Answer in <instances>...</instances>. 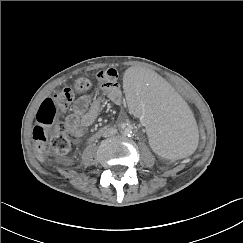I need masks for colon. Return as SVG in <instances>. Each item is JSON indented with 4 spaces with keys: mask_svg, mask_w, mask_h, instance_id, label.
<instances>
[{
    "mask_svg": "<svg viewBox=\"0 0 243 243\" xmlns=\"http://www.w3.org/2000/svg\"><path fill=\"white\" fill-rule=\"evenodd\" d=\"M103 76H105L104 73ZM89 88L90 82L87 79L81 78L75 82L74 89L68 87L62 88L42 102L37 114V124L32 131L33 147L38 155H45L48 152L49 145L58 154H65L70 150L71 141L66 135V126L62 123H57L54 126V135L50 141L48 139L49 128L54 123L57 111L66 110L70 106L74 98V92L84 93ZM196 125L198 138L195 152L201 153L206 144L207 129L202 119H197Z\"/></svg>",
    "mask_w": 243,
    "mask_h": 243,
    "instance_id": "obj_1",
    "label": "colon"
}]
</instances>
